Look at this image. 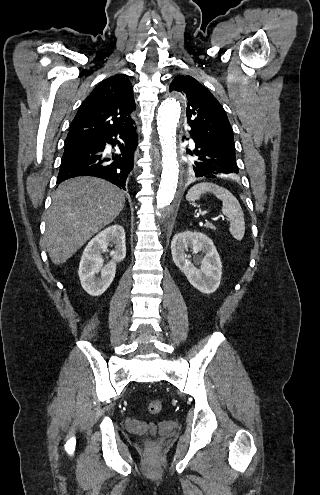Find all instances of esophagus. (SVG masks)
<instances>
[{"label":"esophagus","mask_w":320,"mask_h":495,"mask_svg":"<svg viewBox=\"0 0 320 495\" xmlns=\"http://www.w3.org/2000/svg\"><path fill=\"white\" fill-rule=\"evenodd\" d=\"M137 156H138V152H136V154H135V159H137Z\"/></svg>","instance_id":"esophagus-1"}]
</instances>
